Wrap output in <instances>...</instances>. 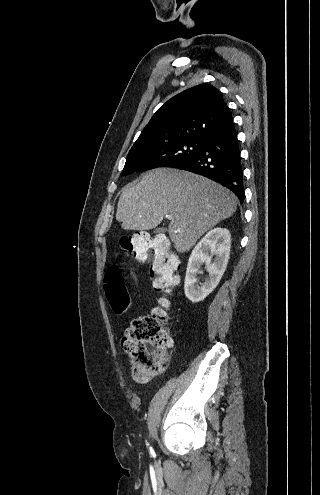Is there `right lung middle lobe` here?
Returning <instances> with one entry per match:
<instances>
[{
	"mask_svg": "<svg viewBox=\"0 0 320 495\" xmlns=\"http://www.w3.org/2000/svg\"><path fill=\"white\" fill-rule=\"evenodd\" d=\"M204 142L203 138H185L176 141L130 149L122 175L157 167H172L195 155Z\"/></svg>",
	"mask_w": 320,
	"mask_h": 495,
	"instance_id": "dd1d6c3e",
	"label": "right lung middle lobe"
}]
</instances>
